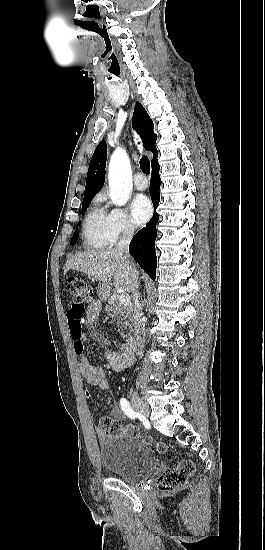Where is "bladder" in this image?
I'll list each match as a JSON object with an SVG mask.
<instances>
[{
    "mask_svg": "<svg viewBox=\"0 0 265 550\" xmlns=\"http://www.w3.org/2000/svg\"><path fill=\"white\" fill-rule=\"evenodd\" d=\"M102 466L127 482L150 475L158 465L156 453L136 438L115 436L99 449Z\"/></svg>",
    "mask_w": 265,
    "mask_h": 550,
    "instance_id": "obj_1",
    "label": "bladder"
}]
</instances>
